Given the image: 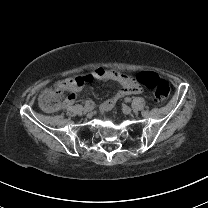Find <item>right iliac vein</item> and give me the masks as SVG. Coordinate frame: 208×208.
<instances>
[{"label": "right iliac vein", "instance_id": "right-iliac-vein-1", "mask_svg": "<svg viewBox=\"0 0 208 208\" xmlns=\"http://www.w3.org/2000/svg\"><path fill=\"white\" fill-rule=\"evenodd\" d=\"M92 111V107L90 105L84 107V112L89 113Z\"/></svg>", "mask_w": 208, "mask_h": 208}]
</instances>
